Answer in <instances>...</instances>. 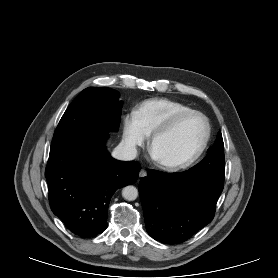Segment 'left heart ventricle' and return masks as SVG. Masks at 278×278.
<instances>
[{"mask_svg":"<svg viewBox=\"0 0 278 278\" xmlns=\"http://www.w3.org/2000/svg\"><path fill=\"white\" fill-rule=\"evenodd\" d=\"M205 131L204 120L198 115H190L184 118L172 132L156 142L154 154L163 161L183 160L198 149Z\"/></svg>","mask_w":278,"mask_h":278,"instance_id":"obj_1","label":"left heart ventricle"}]
</instances>
